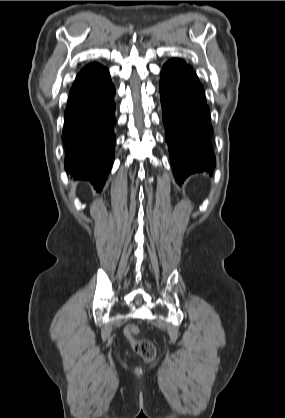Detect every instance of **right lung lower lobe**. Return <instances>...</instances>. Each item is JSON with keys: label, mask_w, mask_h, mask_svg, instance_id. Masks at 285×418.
Instances as JSON below:
<instances>
[{"label": "right lung lower lobe", "mask_w": 285, "mask_h": 418, "mask_svg": "<svg viewBox=\"0 0 285 418\" xmlns=\"http://www.w3.org/2000/svg\"><path fill=\"white\" fill-rule=\"evenodd\" d=\"M115 88L109 71L72 88L64 113L65 168L100 192L114 162Z\"/></svg>", "instance_id": "1"}]
</instances>
